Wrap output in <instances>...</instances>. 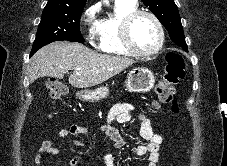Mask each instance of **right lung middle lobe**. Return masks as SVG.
I'll use <instances>...</instances> for the list:
<instances>
[{
	"mask_svg": "<svg viewBox=\"0 0 227 166\" xmlns=\"http://www.w3.org/2000/svg\"><path fill=\"white\" fill-rule=\"evenodd\" d=\"M82 10H43L31 55L53 41L84 43L80 33Z\"/></svg>",
	"mask_w": 227,
	"mask_h": 166,
	"instance_id": "dd1d6c3e",
	"label": "right lung middle lobe"
}]
</instances>
